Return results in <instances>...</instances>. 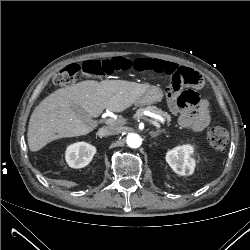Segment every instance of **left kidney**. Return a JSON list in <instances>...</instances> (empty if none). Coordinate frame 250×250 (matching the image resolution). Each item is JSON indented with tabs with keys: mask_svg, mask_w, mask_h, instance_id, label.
<instances>
[{
	"mask_svg": "<svg viewBox=\"0 0 250 250\" xmlns=\"http://www.w3.org/2000/svg\"><path fill=\"white\" fill-rule=\"evenodd\" d=\"M194 149L191 145L177 146L166 154V161L178 175H191L195 169V159L191 157Z\"/></svg>",
	"mask_w": 250,
	"mask_h": 250,
	"instance_id": "left-kidney-1",
	"label": "left kidney"
}]
</instances>
